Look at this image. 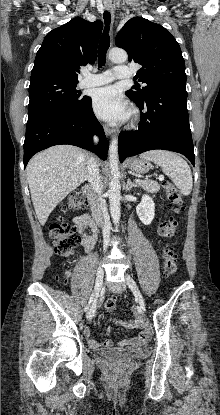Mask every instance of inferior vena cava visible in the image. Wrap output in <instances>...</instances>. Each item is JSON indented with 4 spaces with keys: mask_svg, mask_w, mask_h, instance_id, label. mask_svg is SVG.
Here are the masks:
<instances>
[{
    "mask_svg": "<svg viewBox=\"0 0 220 415\" xmlns=\"http://www.w3.org/2000/svg\"><path fill=\"white\" fill-rule=\"evenodd\" d=\"M94 139L95 141L97 140L96 137ZM88 181L92 190L89 199L93 217L102 226L104 248L106 249L109 246L111 224L106 211L105 201L100 196L102 189L101 177L98 164L93 156L90 157L88 162Z\"/></svg>",
    "mask_w": 220,
    "mask_h": 415,
    "instance_id": "obj_1",
    "label": "inferior vena cava"
}]
</instances>
